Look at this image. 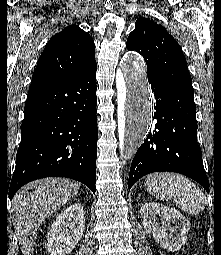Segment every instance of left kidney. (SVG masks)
I'll use <instances>...</instances> for the list:
<instances>
[{
    "mask_svg": "<svg viewBox=\"0 0 221 255\" xmlns=\"http://www.w3.org/2000/svg\"><path fill=\"white\" fill-rule=\"evenodd\" d=\"M145 230L168 251L180 250L190 230L188 220L175 208L157 202H146L140 209ZM162 218V226L156 221Z\"/></svg>",
    "mask_w": 221,
    "mask_h": 255,
    "instance_id": "obj_1",
    "label": "left kidney"
}]
</instances>
